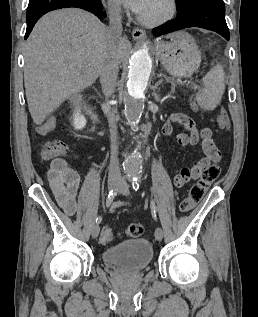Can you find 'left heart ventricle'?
I'll use <instances>...</instances> for the list:
<instances>
[{
    "mask_svg": "<svg viewBox=\"0 0 258 317\" xmlns=\"http://www.w3.org/2000/svg\"><path fill=\"white\" fill-rule=\"evenodd\" d=\"M167 11H168V5L165 3H159L155 5L154 7H152L151 9H149L146 12V14L149 19L156 20L162 15H164Z\"/></svg>",
    "mask_w": 258,
    "mask_h": 317,
    "instance_id": "1",
    "label": "left heart ventricle"
}]
</instances>
